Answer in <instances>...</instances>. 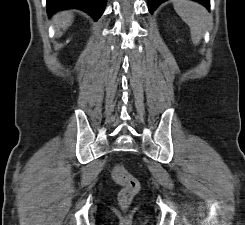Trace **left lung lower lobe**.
<instances>
[{
  "label": "left lung lower lobe",
  "mask_w": 245,
  "mask_h": 225,
  "mask_svg": "<svg viewBox=\"0 0 245 225\" xmlns=\"http://www.w3.org/2000/svg\"><path fill=\"white\" fill-rule=\"evenodd\" d=\"M166 0H148V9L149 12L152 14L154 10L162 3L165 2ZM201 3L203 6H205L207 9L210 7V0H193Z\"/></svg>",
  "instance_id": "0a47b994"
}]
</instances>
